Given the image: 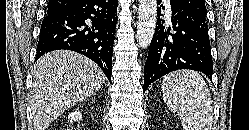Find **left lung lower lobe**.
I'll list each match as a JSON object with an SVG mask.
<instances>
[{
	"mask_svg": "<svg viewBox=\"0 0 249 130\" xmlns=\"http://www.w3.org/2000/svg\"><path fill=\"white\" fill-rule=\"evenodd\" d=\"M170 5L171 25L167 27L163 19H157L144 68L143 92L157 79L178 69H191L203 72L209 78L212 76L206 17L188 10L176 0H171ZM160 11L161 7L158 16L162 15Z\"/></svg>",
	"mask_w": 249,
	"mask_h": 130,
	"instance_id": "left-lung-lower-lobe-1",
	"label": "left lung lower lobe"
}]
</instances>
